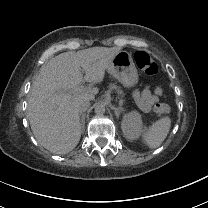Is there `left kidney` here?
Returning a JSON list of instances; mask_svg holds the SVG:
<instances>
[{"label":"left kidney","instance_id":"obj_1","mask_svg":"<svg viewBox=\"0 0 208 208\" xmlns=\"http://www.w3.org/2000/svg\"><path fill=\"white\" fill-rule=\"evenodd\" d=\"M121 128L128 140L138 139L143 132V122L140 113L131 111L123 116Z\"/></svg>","mask_w":208,"mask_h":208}]
</instances>
